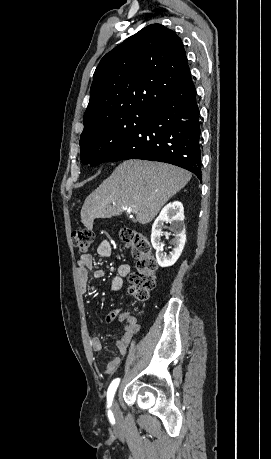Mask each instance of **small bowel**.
Masks as SVG:
<instances>
[{
	"mask_svg": "<svg viewBox=\"0 0 271 459\" xmlns=\"http://www.w3.org/2000/svg\"><path fill=\"white\" fill-rule=\"evenodd\" d=\"M97 255L99 257H109L112 254V245L108 240H102L97 246ZM78 279L82 292L87 291V285L89 277L100 278L104 275V271L95 269L93 265V257L90 254H83L80 256L77 263ZM131 274V269L128 265H121L117 274L113 278L110 289L112 291H118L123 286V280L125 277ZM115 318H118L120 322H124V333L122 337L116 342V347L121 355H125L131 345L134 336L140 329L137 319L134 316L120 313L119 310H113L107 314L105 318L106 323H111ZM91 348L93 351L98 352L102 349V342L99 338L94 337L91 339ZM120 358L118 356H112L106 360V375H112L117 371L120 366Z\"/></svg>",
	"mask_w": 271,
	"mask_h": 459,
	"instance_id": "1",
	"label": "small bowel"
}]
</instances>
